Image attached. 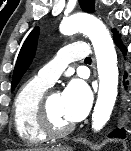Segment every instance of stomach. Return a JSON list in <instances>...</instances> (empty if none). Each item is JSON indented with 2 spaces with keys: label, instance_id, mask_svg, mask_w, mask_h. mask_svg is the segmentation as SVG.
Returning a JSON list of instances; mask_svg holds the SVG:
<instances>
[{
  "label": "stomach",
  "instance_id": "stomach-1",
  "mask_svg": "<svg viewBox=\"0 0 131 151\" xmlns=\"http://www.w3.org/2000/svg\"><path fill=\"white\" fill-rule=\"evenodd\" d=\"M57 151H72V149L70 147L66 146V147L58 148Z\"/></svg>",
  "mask_w": 131,
  "mask_h": 151
}]
</instances>
